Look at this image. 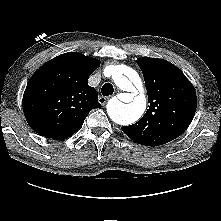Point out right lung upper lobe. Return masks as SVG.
<instances>
[{
    "instance_id": "right-lung-upper-lobe-1",
    "label": "right lung upper lobe",
    "mask_w": 221,
    "mask_h": 221,
    "mask_svg": "<svg viewBox=\"0 0 221 221\" xmlns=\"http://www.w3.org/2000/svg\"><path fill=\"white\" fill-rule=\"evenodd\" d=\"M100 61L76 52L61 54L42 65L23 95L28 124L41 136L63 140L73 135L93 108H101L88 77Z\"/></svg>"
}]
</instances>
